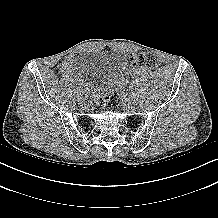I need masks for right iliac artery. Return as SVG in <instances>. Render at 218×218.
<instances>
[{
  "label": "right iliac artery",
  "instance_id": "1",
  "mask_svg": "<svg viewBox=\"0 0 218 218\" xmlns=\"http://www.w3.org/2000/svg\"><path fill=\"white\" fill-rule=\"evenodd\" d=\"M87 89H88V88H86V90H85V89H84V90H81V91H80V94H81V95H84V94L86 93L85 91H87ZM86 94H87V93H86ZM87 97H88V96H87Z\"/></svg>",
  "mask_w": 218,
  "mask_h": 218
}]
</instances>
